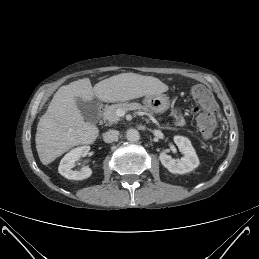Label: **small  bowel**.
Instances as JSON below:
<instances>
[{
	"mask_svg": "<svg viewBox=\"0 0 259 259\" xmlns=\"http://www.w3.org/2000/svg\"><path fill=\"white\" fill-rule=\"evenodd\" d=\"M173 118L177 124L181 125L184 123V118H183L182 114L180 113V111H175Z\"/></svg>",
	"mask_w": 259,
	"mask_h": 259,
	"instance_id": "obj_1",
	"label": "small bowel"
}]
</instances>
